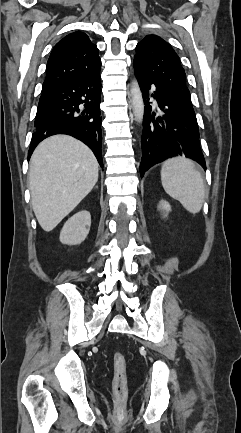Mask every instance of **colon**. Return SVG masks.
Here are the masks:
<instances>
[{
    "instance_id": "1",
    "label": "colon",
    "mask_w": 241,
    "mask_h": 433,
    "mask_svg": "<svg viewBox=\"0 0 241 433\" xmlns=\"http://www.w3.org/2000/svg\"><path fill=\"white\" fill-rule=\"evenodd\" d=\"M113 389L119 404H122L127 394V364L124 355L115 352L113 355Z\"/></svg>"
}]
</instances>
